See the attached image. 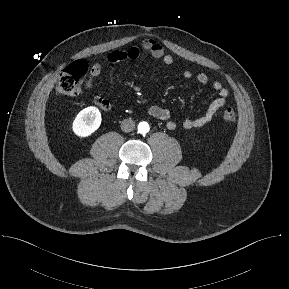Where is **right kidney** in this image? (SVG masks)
<instances>
[{"label":"right kidney","mask_w":289,"mask_h":289,"mask_svg":"<svg viewBox=\"0 0 289 289\" xmlns=\"http://www.w3.org/2000/svg\"><path fill=\"white\" fill-rule=\"evenodd\" d=\"M101 124V113L97 107L90 106L81 110L73 121V132L81 137H88L94 133Z\"/></svg>","instance_id":"1"}]
</instances>
